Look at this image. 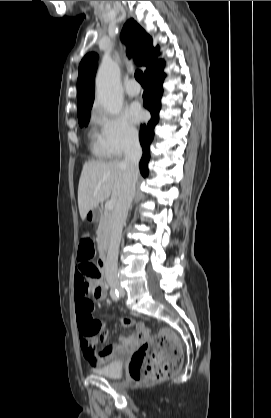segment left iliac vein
Here are the masks:
<instances>
[{"mask_svg": "<svg viewBox=\"0 0 271 418\" xmlns=\"http://www.w3.org/2000/svg\"><path fill=\"white\" fill-rule=\"evenodd\" d=\"M120 294L121 296H124V291L122 289H120Z\"/></svg>", "mask_w": 271, "mask_h": 418, "instance_id": "left-iliac-vein-1", "label": "left iliac vein"}]
</instances>
